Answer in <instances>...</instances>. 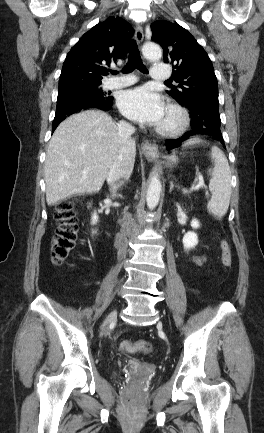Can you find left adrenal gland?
Listing matches in <instances>:
<instances>
[{
  "mask_svg": "<svg viewBox=\"0 0 264 433\" xmlns=\"http://www.w3.org/2000/svg\"><path fill=\"white\" fill-rule=\"evenodd\" d=\"M174 187L179 188V186H177V185L175 186V185H174L173 181H170V189H169V193L172 192V190L174 189Z\"/></svg>",
  "mask_w": 264,
  "mask_h": 433,
  "instance_id": "1",
  "label": "left adrenal gland"
}]
</instances>
